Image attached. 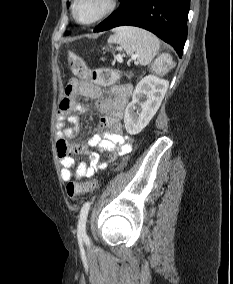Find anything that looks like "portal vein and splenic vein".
<instances>
[{"instance_id": "1", "label": "portal vein and splenic vein", "mask_w": 233, "mask_h": 284, "mask_svg": "<svg viewBox=\"0 0 233 284\" xmlns=\"http://www.w3.org/2000/svg\"><path fill=\"white\" fill-rule=\"evenodd\" d=\"M119 61H122V58H121V57H119Z\"/></svg>"}]
</instances>
